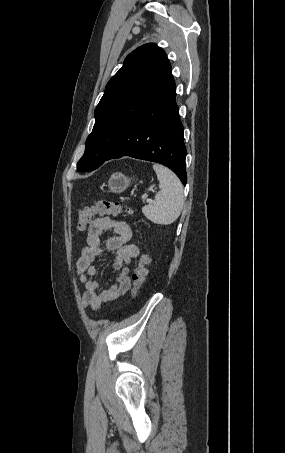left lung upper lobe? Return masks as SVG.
I'll list each match as a JSON object with an SVG mask.
<instances>
[{"label": "left lung upper lobe", "mask_w": 285, "mask_h": 453, "mask_svg": "<svg viewBox=\"0 0 285 453\" xmlns=\"http://www.w3.org/2000/svg\"><path fill=\"white\" fill-rule=\"evenodd\" d=\"M170 71L166 53L154 43L140 46L126 57L95 109V124L77 163L78 171H92L104 163Z\"/></svg>", "instance_id": "5c2ea615"}]
</instances>
